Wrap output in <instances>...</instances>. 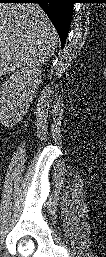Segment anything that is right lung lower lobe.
I'll return each mask as SVG.
<instances>
[{
    "mask_svg": "<svg viewBox=\"0 0 106 257\" xmlns=\"http://www.w3.org/2000/svg\"><path fill=\"white\" fill-rule=\"evenodd\" d=\"M1 3H38L56 28L61 47L64 46L73 14L75 0H0Z\"/></svg>",
    "mask_w": 106,
    "mask_h": 257,
    "instance_id": "obj_1",
    "label": "right lung lower lobe"
}]
</instances>
